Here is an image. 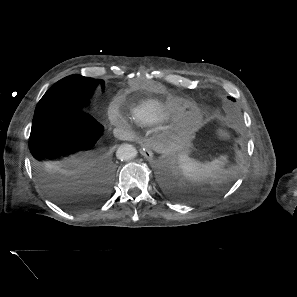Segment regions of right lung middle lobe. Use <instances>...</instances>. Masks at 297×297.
I'll use <instances>...</instances> for the list:
<instances>
[{
	"instance_id": "1",
	"label": "right lung middle lobe",
	"mask_w": 297,
	"mask_h": 297,
	"mask_svg": "<svg viewBox=\"0 0 297 297\" xmlns=\"http://www.w3.org/2000/svg\"><path fill=\"white\" fill-rule=\"evenodd\" d=\"M98 84L104 85V81L80 75H71L61 79L38 102L33 124L42 122L52 114L62 110L85 111L86 105Z\"/></svg>"
}]
</instances>
